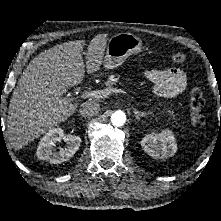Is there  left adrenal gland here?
Returning a JSON list of instances; mask_svg holds the SVG:
<instances>
[{"label":"left adrenal gland","instance_id":"left-adrenal-gland-1","mask_svg":"<svg viewBox=\"0 0 221 221\" xmlns=\"http://www.w3.org/2000/svg\"><path fill=\"white\" fill-rule=\"evenodd\" d=\"M133 112L135 114V118L140 121L142 117H146L148 116L149 114H152L151 111H148V112H140L138 111L137 109H133Z\"/></svg>","mask_w":221,"mask_h":221}]
</instances>
